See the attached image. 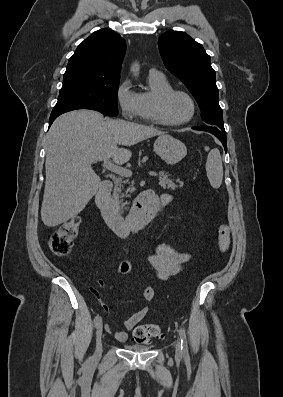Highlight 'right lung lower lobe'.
<instances>
[{"label":"right lung lower lobe","instance_id":"1","mask_svg":"<svg viewBox=\"0 0 283 397\" xmlns=\"http://www.w3.org/2000/svg\"><path fill=\"white\" fill-rule=\"evenodd\" d=\"M76 109H87V108H79V107H63V108H54L51 112L50 119H49V127L53 123V121L61 114L76 110Z\"/></svg>","mask_w":283,"mask_h":397}]
</instances>
